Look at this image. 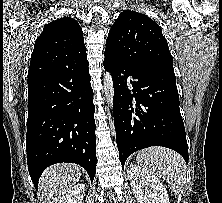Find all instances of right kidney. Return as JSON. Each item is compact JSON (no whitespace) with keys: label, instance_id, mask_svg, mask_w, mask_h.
<instances>
[{"label":"right kidney","instance_id":"right-kidney-1","mask_svg":"<svg viewBox=\"0 0 222 203\" xmlns=\"http://www.w3.org/2000/svg\"><path fill=\"white\" fill-rule=\"evenodd\" d=\"M85 195V185L78 183L67 189L59 203H82Z\"/></svg>","mask_w":222,"mask_h":203}]
</instances>
